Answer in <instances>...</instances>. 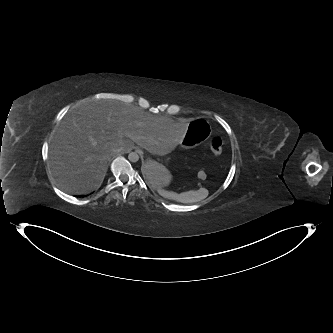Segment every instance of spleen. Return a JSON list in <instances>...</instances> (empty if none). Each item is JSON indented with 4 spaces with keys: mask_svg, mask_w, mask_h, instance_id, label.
I'll use <instances>...</instances> for the list:
<instances>
[{
    "mask_svg": "<svg viewBox=\"0 0 333 333\" xmlns=\"http://www.w3.org/2000/svg\"><path fill=\"white\" fill-rule=\"evenodd\" d=\"M159 194L165 196L168 200H173L176 202H198L205 199L208 196V191L206 189H200L198 191H189L185 193H179L175 191L161 188H154Z\"/></svg>",
    "mask_w": 333,
    "mask_h": 333,
    "instance_id": "spleen-1",
    "label": "spleen"
}]
</instances>
